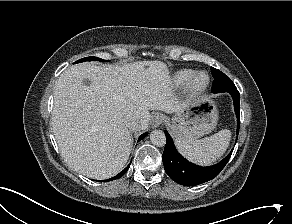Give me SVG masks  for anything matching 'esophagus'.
I'll list each match as a JSON object with an SVG mask.
<instances>
[{
    "instance_id": "obj_1",
    "label": "esophagus",
    "mask_w": 292,
    "mask_h": 224,
    "mask_svg": "<svg viewBox=\"0 0 292 224\" xmlns=\"http://www.w3.org/2000/svg\"><path fill=\"white\" fill-rule=\"evenodd\" d=\"M164 116L161 113H154L151 116V125L153 128H158L162 124Z\"/></svg>"
}]
</instances>
